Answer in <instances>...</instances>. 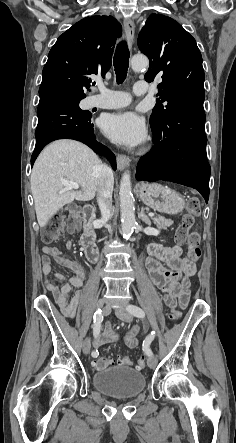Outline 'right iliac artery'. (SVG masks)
<instances>
[{
	"label": "right iliac artery",
	"instance_id": "82829eb1",
	"mask_svg": "<svg viewBox=\"0 0 236 443\" xmlns=\"http://www.w3.org/2000/svg\"><path fill=\"white\" fill-rule=\"evenodd\" d=\"M102 321H103V314L101 309H98L94 314V321H93V335L95 337H97L98 334L100 333ZM98 354L99 353L97 350L92 352L93 357H97Z\"/></svg>",
	"mask_w": 236,
	"mask_h": 443
}]
</instances>
